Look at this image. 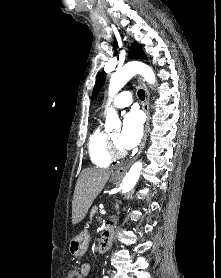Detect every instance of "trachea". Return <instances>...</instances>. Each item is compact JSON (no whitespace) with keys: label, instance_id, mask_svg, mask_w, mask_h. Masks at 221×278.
Segmentation results:
<instances>
[{"label":"trachea","instance_id":"trachea-1","mask_svg":"<svg viewBox=\"0 0 221 278\" xmlns=\"http://www.w3.org/2000/svg\"><path fill=\"white\" fill-rule=\"evenodd\" d=\"M138 97L140 100H144V98H145L144 90H142V89L138 90Z\"/></svg>","mask_w":221,"mask_h":278}]
</instances>
